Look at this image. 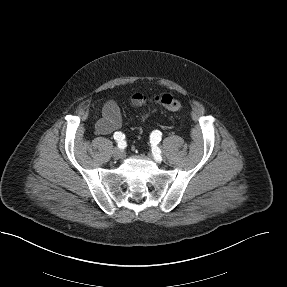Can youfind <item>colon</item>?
<instances>
[{
  "mask_svg": "<svg viewBox=\"0 0 287 287\" xmlns=\"http://www.w3.org/2000/svg\"><path fill=\"white\" fill-rule=\"evenodd\" d=\"M131 101L135 105H144L148 102V98L140 93L134 94ZM154 102L170 112H180L182 103L179 99L171 94H160L154 98Z\"/></svg>",
  "mask_w": 287,
  "mask_h": 287,
  "instance_id": "5ec220e1",
  "label": "colon"
}]
</instances>
